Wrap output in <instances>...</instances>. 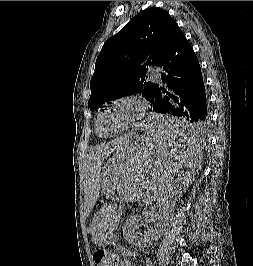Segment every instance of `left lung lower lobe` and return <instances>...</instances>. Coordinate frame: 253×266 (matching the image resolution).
<instances>
[{"instance_id": "0a47b994", "label": "left lung lower lobe", "mask_w": 253, "mask_h": 266, "mask_svg": "<svg viewBox=\"0 0 253 266\" xmlns=\"http://www.w3.org/2000/svg\"><path fill=\"white\" fill-rule=\"evenodd\" d=\"M157 66L162 68L165 85L155 84L152 111L182 120L176 125H158L152 131L173 141L198 140L210 123L205 86L198 59L178 25Z\"/></svg>"}]
</instances>
